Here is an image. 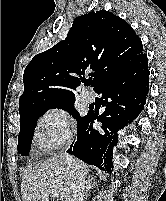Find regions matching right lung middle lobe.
<instances>
[{
	"label": "right lung middle lobe",
	"mask_w": 166,
	"mask_h": 201,
	"mask_svg": "<svg viewBox=\"0 0 166 201\" xmlns=\"http://www.w3.org/2000/svg\"><path fill=\"white\" fill-rule=\"evenodd\" d=\"M74 101L67 102L61 105L33 110L20 115V133L18 136V152L23 155H28L31 147V142L34 134V129L38 118L51 108H61L70 112L78 121V126L82 123L85 117L79 116V113L74 109Z\"/></svg>",
	"instance_id": "1"
}]
</instances>
